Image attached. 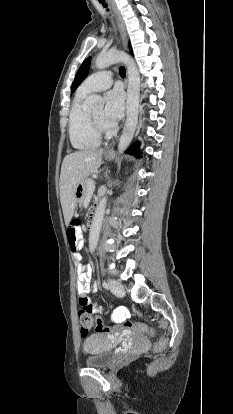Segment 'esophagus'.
<instances>
[{
  "label": "esophagus",
  "mask_w": 233,
  "mask_h": 414,
  "mask_svg": "<svg viewBox=\"0 0 233 414\" xmlns=\"http://www.w3.org/2000/svg\"><path fill=\"white\" fill-rule=\"evenodd\" d=\"M112 8H113V11L115 13V17H116V20H117V23H118V26H119V29H120L121 36H122V45H123L125 50H128V37H127V33H126V29H125L123 19L121 17L120 12L117 10V8L115 7L114 4H112ZM125 82H126V86H127L128 75L126 76V81ZM113 152H114L113 145L109 146L106 149V154H113Z\"/></svg>",
  "instance_id": "esophagus-1"
}]
</instances>
